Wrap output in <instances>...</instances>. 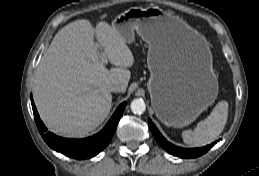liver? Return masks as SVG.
I'll list each match as a JSON object with an SVG mask.
<instances>
[{"label": "liver", "mask_w": 259, "mask_h": 176, "mask_svg": "<svg viewBox=\"0 0 259 176\" xmlns=\"http://www.w3.org/2000/svg\"><path fill=\"white\" fill-rule=\"evenodd\" d=\"M94 36L99 44H95ZM105 56L114 68L105 67ZM134 57L125 40L107 22L94 27L81 19L57 32L35 72L33 96L39 115L54 133L83 137L108 116L117 83L125 92Z\"/></svg>", "instance_id": "liver-1"}]
</instances>
